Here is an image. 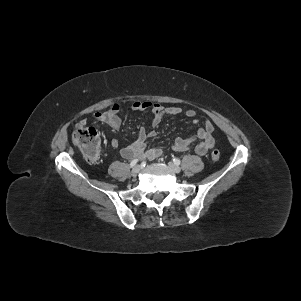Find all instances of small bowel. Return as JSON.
<instances>
[{"instance_id": "c3829d8e", "label": "small bowel", "mask_w": 301, "mask_h": 301, "mask_svg": "<svg viewBox=\"0 0 301 301\" xmlns=\"http://www.w3.org/2000/svg\"><path fill=\"white\" fill-rule=\"evenodd\" d=\"M129 110L133 111H145L149 110L152 113L151 125L153 127L158 126L165 117L176 116L183 112L180 107L170 106L165 107L159 103L153 102H135ZM120 106L113 104L108 110L104 112H97L93 115V120L109 126L111 129L117 130L121 125L119 117ZM185 115L188 118L193 119V122L198 123L196 118V112L192 109L186 110ZM87 123L86 120H82L77 124V127L84 126ZM214 126L209 120L204 121V125L198 129L197 133L193 136L175 139L172 149L174 151H185L190 149L195 142L194 150L198 155H205L215 145V139L213 137ZM155 137V132H147L143 127L140 129L137 139L131 144L123 147L120 151L121 156L126 159H130L134 156H140L147 159H156L162 156L163 151L160 148L147 149V142ZM119 146L117 139L111 140V147L117 149Z\"/></svg>"}]
</instances>
